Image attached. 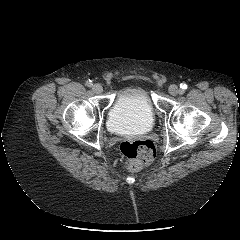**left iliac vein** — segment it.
Listing matches in <instances>:
<instances>
[{
    "mask_svg": "<svg viewBox=\"0 0 240 240\" xmlns=\"http://www.w3.org/2000/svg\"><path fill=\"white\" fill-rule=\"evenodd\" d=\"M181 92V90L179 89V87L175 84H172L170 85L169 87V93L172 95V96H176L178 95L179 93Z\"/></svg>",
    "mask_w": 240,
    "mask_h": 240,
    "instance_id": "obj_1",
    "label": "left iliac vein"
}]
</instances>
